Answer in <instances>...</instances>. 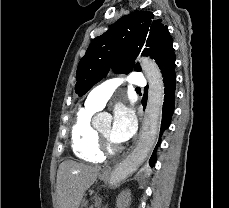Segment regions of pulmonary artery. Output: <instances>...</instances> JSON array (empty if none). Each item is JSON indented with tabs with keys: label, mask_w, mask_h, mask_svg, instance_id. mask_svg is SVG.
<instances>
[{
	"label": "pulmonary artery",
	"mask_w": 229,
	"mask_h": 208,
	"mask_svg": "<svg viewBox=\"0 0 229 208\" xmlns=\"http://www.w3.org/2000/svg\"><path fill=\"white\" fill-rule=\"evenodd\" d=\"M141 76V72H130L129 75L106 79L100 85L92 89L85 101V105L94 110H101L110 99L113 92L119 86L126 83L132 84L133 87H146L147 83L145 82V78L132 79V77Z\"/></svg>",
	"instance_id": "1"
}]
</instances>
